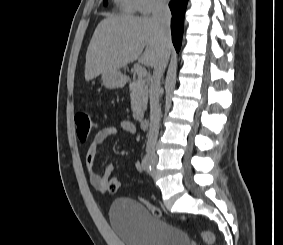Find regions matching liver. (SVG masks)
<instances>
[{"mask_svg": "<svg viewBox=\"0 0 283 245\" xmlns=\"http://www.w3.org/2000/svg\"><path fill=\"white\" fill-rule=\"evenodd\" d=\"M165 50L170 55L172 43ZM163 53L160 27L152 18L109 15L98 24L89 43L85 80L90 81L107 70H119L137 59L153 68Z\"/></svg>", "mask_w": 283, "mask_h": 245, "instance_id": "liver-1", "label": "liver"}]
</instances>
